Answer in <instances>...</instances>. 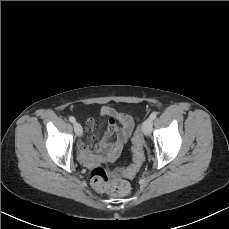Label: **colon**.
I'll use <instances>...</instances> for the list:
<instances>
[{"mask_svg":"<svg viewBox=\"0 0 229 229\" xmlns=\"http://www.w3.org/2000/svg\"><path fill=\"white\" fill-rule=\"evenodd\" d=\"M144 138L141 131L133 137L134 162L131 173L135 174L143 163ZM91 183L99 191H105L116 198H124L130 194L131 187L124 179H110V173L103 167L94 168L91 172Z\"/></svg>","mask_w":229,"mask_h":229,"instance_id":"1","label":"colon"}]
</instances>
